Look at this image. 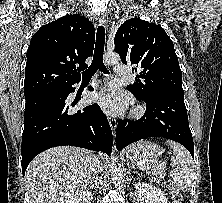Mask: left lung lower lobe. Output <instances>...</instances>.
Here are the masks:
<instances>
[{"mask_svg": "<svg viewBox=\"0 0 222 203\" xmlns=\"http://www.w3.org/2000/svg\"><path fill=\"white\" fill-rule=\"evenodd\" d=\"M146 113L135 121H120L116 129V147L149 137H164L182 144L194 157V143L189 128L184 94L159 92L144 100Z\"/></svg>", "mask_w": 222, "mask_h": 203, "instance_id": "0a47b994", "label": "left lung lower lobe"}]
</instances>
